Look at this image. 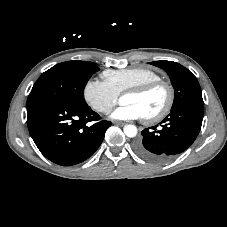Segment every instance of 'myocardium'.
Returning a JSON list of instances; mask_svg holds the SVG:
<instances>
[{
  "instance_id": "1",
  "label": "myocardium",
  "mask_w": 227,
  "mask_h": 227,
  "mask_svg": "<svg viewBox=\"0 0 227 227\" xmlns=\"http://www.w3.org/2000/svg\"><path fill=\"white\" fill-rule=\"evenodd\" d=\"M163 87L167 93V99L160 111L157 113L143 117L144 121L147 123H155L164 119L169 112L171 111L174 100H175V92L173 86L163 79L154 80L145 84H142L137 87L130 88L123 92V96L127 94L135 95V96H143L156 88Z\"/></svg>"
}]
</instances>
